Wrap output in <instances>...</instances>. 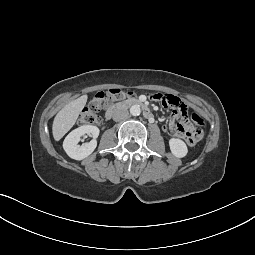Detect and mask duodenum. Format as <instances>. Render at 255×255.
I'll return each mask as SVG.
<instances>
[{"instance_id":"obj_1","label":"duodenum","mask_w":255,"mask_h":255,"mask_svg":"<svg viewBox=\"0 0 255 255\" xmlns=\"http://www.w3.org/2000/svg\"><path fill=\"white\" fill-rule=\"evenodd\" d=\"M132 106L141 107L144 116L149 120L153 119V114L150 108L142 100L135 97H128L123 101L111 104L106 110L105 117L111 119L118 111Z\"/></svg>"}]
</instances>
